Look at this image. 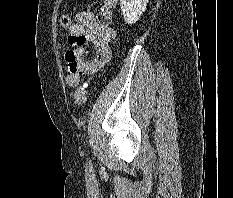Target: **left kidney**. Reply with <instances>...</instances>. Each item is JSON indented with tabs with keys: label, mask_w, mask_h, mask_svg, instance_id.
Wrapping results in <instances>:
<instances>
[{
	"label": "left kidney",
	"mask_w": 233,
	"mask_h": 198,
	"mask_svg": "<svg viewBox=\"0 0 233 198\" xmlns=\"http://www.w3.org/2000/svg\"><path fill=\"white\" fill-rule=\"evenodd\" d=\"M149 0H120V8L124 21L128 24L136 23L146 9Z\"/></svg>",
	"instance_id": "left-kidney-1"
}]
</instances>
